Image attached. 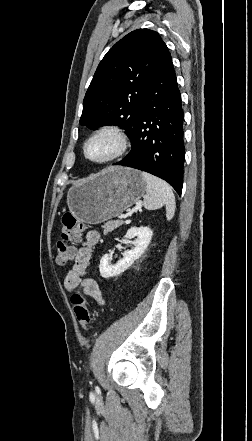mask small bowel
Here are the masks:
<instances>
[{
  "instance_id": "c3829d8e",
  "label": "small bowel",
  "mask_w": 252,
  "mask_h": 441,
  "mask_svg": "<svg viewBox=\"0 0 252 441\" xmlns=\"http://www.w3.org/2000/svg\"><path fill=\"white\" fill-rule=\"evenodd\" d=\"M99 238V233L94 230L86 234L84 242L75 253L74 263L65 276L64 287L70 292L80 289L83 294L93 298L99 305H103L104 299L98 283L92 278L85 277L92 251L98 244Z\"/></svg>"
}]
</instances>
